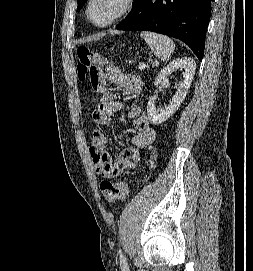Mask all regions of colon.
Returning <instances> with one entry per match:
<instances>
[{"label": "colon", "instance_id": "obj_1", "mask_svg": "<svg viewBox=\"0 0 253 271\" xmlns=\"http://www.w3.org/2000/svg\"><path fill=\"white\" fill-rule=\"evenodd\" d=\"M77 72L81 80L89 78L95 91H99L100 82L98 70L106 64V61L97 53L87 47H79L77 50ZM100 192L108 201H120L127 195V185L122 181L104 180L99 185Z\"/></svg>", "mask_w": 253, "mask_h": 271}]
</instances>
